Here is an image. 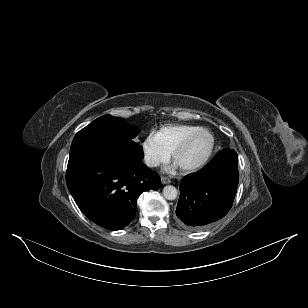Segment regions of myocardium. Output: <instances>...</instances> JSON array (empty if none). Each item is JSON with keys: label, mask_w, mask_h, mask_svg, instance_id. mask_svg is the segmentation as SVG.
Wrapping results in <instances>:
<instances>
[{"label": "myocardium", "mask_w": 308, "mask_h": 308, "mask_svg": "<svg viewBox=\"0 0 308 308\" xmlns=\"http://www.w3.org/2000/svg\"><path fill=\"white\" fill-rule=\"evenodd\" d=\"M202 133L208 134L211 137V145H210L208 152L206 153V155L204 156V158L202 160H200L199 162H197L195 164L186 165V166H179L181 171L186 172V173L198 171V170L202 169L204 166H206L207 163L210 161V159H211V157H212V155L215 151V148H216V138H215V135L213 134V132H211L209 129H206V128H199V129L193 131L192 133H190L188 136H186L176 146V148L173 150L172 159L176 163L179 155L187 149V147L190 145V143L193 141V139L196 136H198L199 134H202Z\"/></svg>", "instance_id": "obj_1"}]
</instances>
